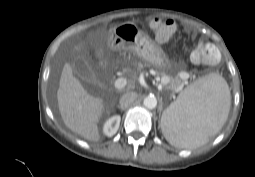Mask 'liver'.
Masks as SVG:
<instances>
[{
	"label": "liver",
	"instance_id": "liver-1",
	"mask_svg": "<svg viewBox=\"0 0 255 177\" xmlns=\"http://www.w3.org/2000/svg\"><path fill=\"white\" fill-rule=\"evenodd\" d=\"M75 50H79V46ZM57 100L63 122L71 131L90 141L100 140L98 122L105 110L104 101L87 93L73 76L69 63L61 73Z\"/></svg>",
	"mask_w": 255,
	"mask_h": 177
}]
</instances>
